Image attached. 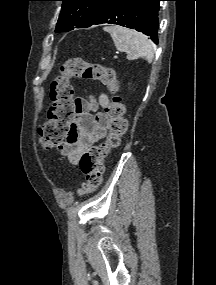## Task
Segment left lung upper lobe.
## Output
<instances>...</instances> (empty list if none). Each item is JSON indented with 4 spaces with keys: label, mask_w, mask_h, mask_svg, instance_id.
I'll return each mask as SVG.
<instances>
[{
    "label": "left lung upper lobe",
    "mask_w": 216,
    "mask_h": 285,
    "mask_svg": "<svg viewBox=\"0 0 216 285\" xmlns=\"http://www.w3.org/2000/svg\"><path fill=\"white\" fill-rule=\"evenodd\" d=\"M62 8L56 32L89 27L112 0H59Z\"/></svg>",
    "instance_id": "left-lung-upper-lobe-1"
}]
</instances>
